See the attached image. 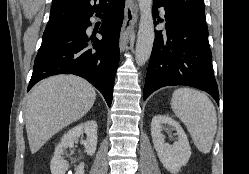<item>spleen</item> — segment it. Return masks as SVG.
<instances>
[{"label":"spleen","instance_id":"3e777b00","mask_svg":"<svg viewBox=\"0 0 249 174\" xmlns=\"http://www.w3.org/2000/svg\"><path fill=\"white\" fill-rule=\"evenodd\" d=\"M171 107L186 125L195 146L209 153L217 130V114L206 94L191 88H179L173 93Z\"/></svg>","mask_w":249,"mask_h":174}]
</instances>
